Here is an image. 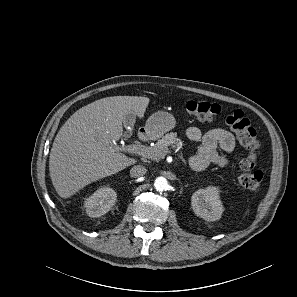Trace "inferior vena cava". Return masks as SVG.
I'll return each mask as SVG.
<instances>
[{"label":"inferior vena cava","mask_w":297,"mask_h":297,"mask_svg":"<svg viewBox=\"0 0 297 297\" xmlns=\"http://www.w3.org/2000/svg\"><path fill=\"white\" fill-rule=\"evenodd\" d=\"M147 172V169L142 165H136L131 168L130 175L131 177L137 178L145 175Z\"/></svg>","instance_id":"602c4592"}]
</instances>
